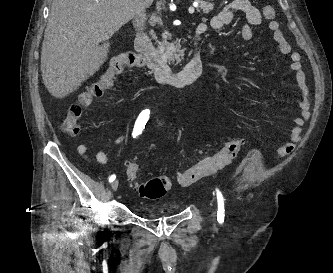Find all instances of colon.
I'll list each match as a JSON object with an SVG mask.
<instances>
[{
	"mask_svg": "<svg viewBox=\"0 0 333 273\" xmlns=\"http://www.w3.org/2000/svg\"><path fill=\"white\" fill-rule=\"evenodd\" d=\"M263 15L266 20H272L275 17L274 8L271 6L264 7ZM143 64V58L135 52H125L114 57L99 79L80 93L78 98L67 107L62 123L63 131L70 136H76L80 131L79 122L83 110L91 106L96 99L101 98L114 85L116 78L121 73ZM243 144L244 140L240 137L228 140L215 154L200 160L189 169L179 172L177 175L178 183L184 187L190 186L203 176L212 174L225 167L237 156ZM125 174L130 187L144 198H161L171 186V181L167 176L142 180L141 168L133 161L126 164Z\"/></svg>",
	"mask_w": 333,
	"mask_h": 273,
	"instance_id": "colon-1",
	"label": "colon"
}]
</instances>
